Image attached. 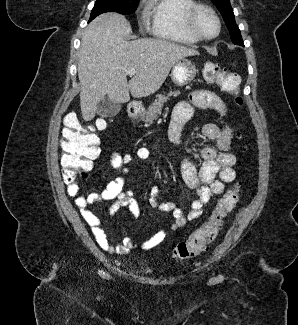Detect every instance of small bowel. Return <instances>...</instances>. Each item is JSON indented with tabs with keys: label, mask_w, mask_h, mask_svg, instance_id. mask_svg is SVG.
I'll use <instances>...</instances> for the list:
<instances>
[{
	"label": "small bowel",
	"mask_w": 298,
	"mask_h": 325,
	"mask_svg": "<svg viewBox=\"0 0 298 325\" xmlns=\"http://www.w3.org/2000/svg\"><path fill=\"white\" fill-rule=\"evenodd\" d=\"M200 109H211L221 115L227 113V106L222 98L209 90L193 91L186 100L179 102L172 113V118L168 128V136L172 143H182V129L193 115V107ZM203 137L216 144V148L206 146L201 149L203 164L197 169L189 160H183L181 173L186 185L197 191V199L191 204L188 214H184L182 209L173 202H161L158 199V187L153 186L150 190L148 202L157 211L171 213L174 222L169 230H160L151 238L146 240L141 247L145 250L152 249L160 244L170 233L184 227L188 222L199 218L204 206L216 195L223 193L225 184L234 181L236 172L234 165L236 157L230 152L233 141V128L226 124L222 127L216 124H206L202 128ZM150 157V151L146 147H140L129 153H112L109 156L110 165L117 171L118 177L110 181L99 193H91L88 196L79 195L77 183L69 184L67 192L74 198L76 206L80 209L85 222L90 226L93 236L101 249L108 253L124 255L136 248L134 241L127 235L121 244L111 245L102 228L101 220L90 206L96 201H110L111 214L120 207H126L137 219L140 209L133 197L132 190L125 189L123 176L129 173V165L139 159L146 160Z\"/></svg>",
	"instance_id": "small-bowel-1"
}]
</instances>
